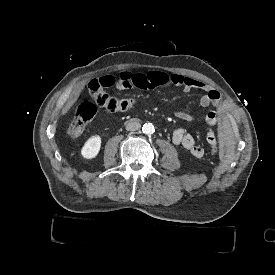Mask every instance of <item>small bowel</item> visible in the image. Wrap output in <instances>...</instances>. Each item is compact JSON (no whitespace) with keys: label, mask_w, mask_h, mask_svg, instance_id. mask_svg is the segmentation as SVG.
<instances>
[{"label":"small bowel","mask_w":275,"mask_h":275,"mask_svg":"<svg viewBox=\"0 0 275 275\" xmlns=\"http://www.w3.org/2000/svg\"><path fill=\"white\" fill-rule=\"evenodd\" d=\"M112 77V76H111ZM113 83L120 89H153L160 86L175 85L183 87L184 91L200 90L203 95L200 98V105L204 108L212 107L205 117V123L208 126L206 141L215 142L217 149L219 145L216 133L211 129L218 121V112L222 109L220 93L205 82L184 77L179 73H168L161 70H153L147 73L139 72H121L117 77H112ZM175 116L181 120H191L193 116L184 111H177ZM174 144L182 146L191 155L196 158H202L205 150L196 143L192 135L183 129H176L172 134ZM217 149L215 151H217ZM213 151V152H215Z\"/></svg>","instance_id":"obj_1"}]
</instances>
